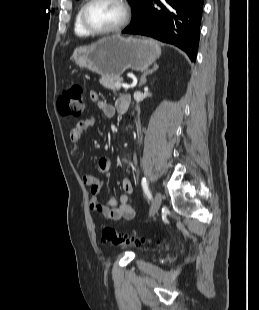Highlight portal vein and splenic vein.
<instances>
[{
  "label": "portal vein and splenic vein",
  "instance_id": "obj_1",
  "mask_svg": "<svg viewBox=\"0 0 259 310\" xmlns=\"http://www.w3.org/2000/svg\"><path fill=\"white\" fill-rule=\"evenodd\" d=\"M123 86H124V84H123V83H120V82H117V83L115 84L116 89H120V88L123 87Z\"/></svg>",
  "mask_w": 259,
  "mask_h": 310
}]
</instances>
